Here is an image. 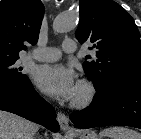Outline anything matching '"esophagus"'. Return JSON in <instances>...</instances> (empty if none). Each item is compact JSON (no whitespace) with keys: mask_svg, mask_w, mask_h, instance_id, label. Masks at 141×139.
Here are the masks:
<instances>
[{"mask_svg":"<svg viewBox=\"0 0 141 139\" xmlns=\"http://www.w3.org/2000/svg\"><path fill=\"white\" fill-rule=\"evenodd\" d=\"M57 120L59 122L61 130L65 131V132L71 131V128L69 125V119L64 113L58 112L57 113Z\"/></svg>","mask_w":141,"mask_h":139,"instance_id":"obj_1","label":"esophagus"}]
</instances>
